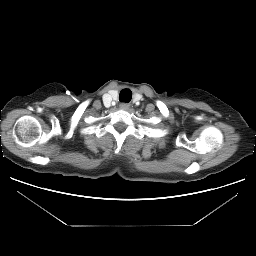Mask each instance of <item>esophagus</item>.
Wrapping results in <instances>:
<instances>
[{
  "label": "esophagus",
  "instance_id": "1",
  "mask_svg": "<svg viewBox=\"0 0 256 256\" xmlns=\"http://www.w3.org/2000/svg\"><path fill=\"white\" fill-rule=\"evenodd\" d=\"M128 104H126V103H122V104H120V108L121 109H127L128 108Z\"/></svg>",
  "mask_w": 256,
  "mask_h": 256
}]
</instances>
